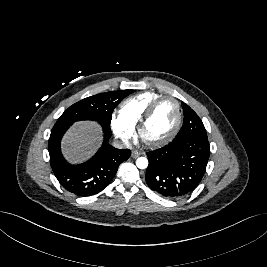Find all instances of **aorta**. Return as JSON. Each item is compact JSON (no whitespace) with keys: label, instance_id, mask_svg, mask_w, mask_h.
I'll use <instances>...</instances> for the list:
<instances>
[{"label":"aorta","instance_id":"762f6f07","mask_svg":"<svg viewBox=\"0 0 267 267\" xmlns=\"http://www.w3.org/2000/svg\"><path fill=\"white\" fill-rule=\"evenodd\" d=\"M136 166L139 169H145V168H147V166H148V160H147V158H145V157H139L136 160Z\"/></svg>","mask_w":267,"mask_h":267}]
</instances>
